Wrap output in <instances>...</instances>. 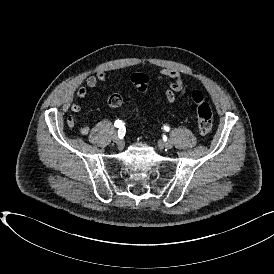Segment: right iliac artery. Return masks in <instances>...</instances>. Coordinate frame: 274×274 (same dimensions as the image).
<instances>
[{
	"mask_svg": "<svg viewBox=\"0 0 274 274\" xmlns=\"http://www.w3.org/2000/svg\"><path fill=\"white\" fill-rule=\"evenodd\" d=\"M115 127L119 128L118 130V137L120 139H122L125 135V132H126V129H125V126L124 124L122 123L121 120H116L115 123H114Z\"/></svg>",
	"mask_w": 274,
	"mask_h": 274,
	"instance_id": "82829eb1",
	"label": "right iliac artery"
}]
</instances>
